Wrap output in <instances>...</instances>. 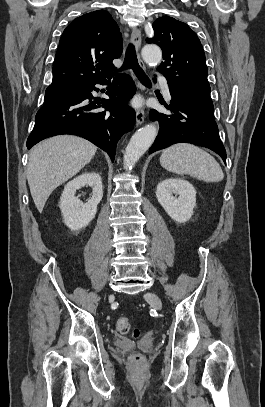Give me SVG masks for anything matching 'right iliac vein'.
Here are the masks:
<instances>
[{
	"label": "right iliac vein",
	"mask_w": 265,
	"mask_h": 407,
	"mask_svg": "<svg viewBox=\"0 0 265 407\" xmlns=\"http://www.w3.org/2000/svg\"><path fill=\"white\" fill-rule=\"evenodd\" d=\"M113 298H114L113 295H110V296H109V300H112Z\"/></svg>",
	"instance_id": "1"
}]
</instances>
